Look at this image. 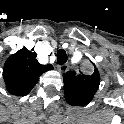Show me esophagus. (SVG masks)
<instances>
[{
  "label": "esophagus",
  "mask_w": 124,
  "mask_h": 124,
  "mask_svg": "<svg viewBox=\"0 0 124 124\" xmlns=\"http://www.w3.org/2000/svg\"><path fill=\"white\" fill-rule=\"evenodd\" d=\"M69 65L68 64H62L58 67L59 71L61 73H66L69 70Z\"/></svg>",
  "instance_id": "obj_1"
}]
</instances>
